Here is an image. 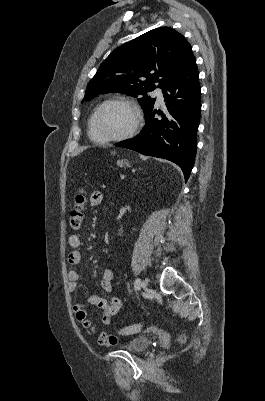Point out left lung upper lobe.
<instances>
[{
  "label": "left lung upper lobe",
  "instance_id": "obj_1",
  "mask_svg": "<svg viewBox=\"0 0 265 401\" xmlns=\"http://www.w3.org/2000/svg\"><path fill=\"white\" fill-rule=\"evenodd\" d=\"M191 45L170 27L153 29L115 49L89 82L83 101L120 92L138 98L144 114L155 99L146 93L169 84L192 56ZM146 78V79H144Z\"/></svg>",
  "mask_w": 265,
  "mask_h": 401
}]
</instances>
